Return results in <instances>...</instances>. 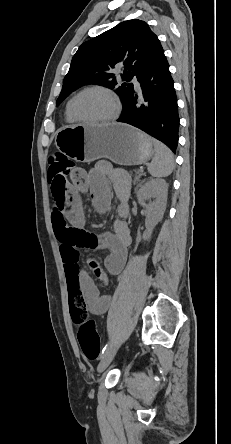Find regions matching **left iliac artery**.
<instances>
[{
  "mask_svg": "<svg viewBox=\"0 0 231 444\" xmlns=\"http://www.w3.org/2000/svg\"><path fill=\"white\" fill-rule=\"evenodd\" d=\"M109 349H110V342H108V344H106V345L104 346V348L102 349V352H101V354H100V358H102L103 355H104Z\"/></svg>",
  "mask_w": 231,
  "mask_h": 444,
  "instance_id": "left-iliac-artery-1",
  "label": "left iliac artery"
}]
</instances>
